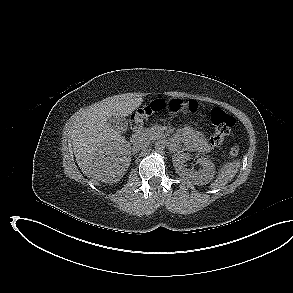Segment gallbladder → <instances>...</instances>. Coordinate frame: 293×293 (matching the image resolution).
Here are the masks:
<instances>
[{
  "label": "gallbladder",
  "mask_w": 293,
  "mask_h": 293,
  "mask_svg": "<svg viewBox=\"0 0 293 293\" xmlns=\"http://www.w3.org/2000/svg\"><path fill=\"white\" fill-rule=\"evenodd\" d=\"M107 124L110 128L125 133L128 129V122L125 117L122 116H111L107 119Z\"/></svg>",
  "instance_id": "obj_1"
}]
</instances>
